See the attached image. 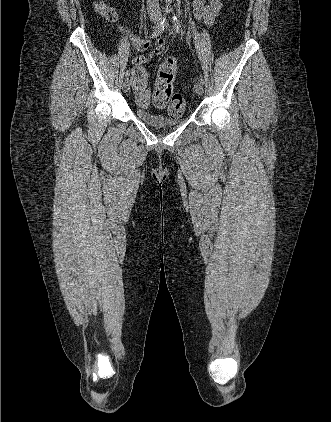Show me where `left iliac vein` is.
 I'll return each instance as SVG.
<instances>
[{
    "instance_id": "obj_1",
    "label": "left iliac vein",
    "mask_w": 331,
    "mask_h": 422,
    "mask_svg": "<svg viewBox=\"0 0 331 422\" xmlns=\"http://www.w3.org/2000/svg\"><path fill=\"white\" fill-rule=\"evenodd\" d=\"M166 28L169 29L168 23L166 24ZM194 89H195V92H196L197 95L203 94L204 89H203V85H202L201 82H197L194 86Z\"/></svg>"
}]
</instances>
